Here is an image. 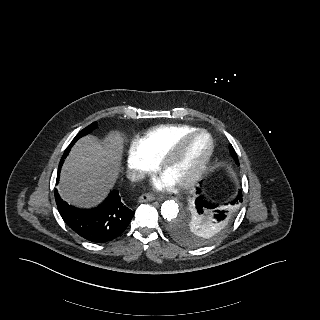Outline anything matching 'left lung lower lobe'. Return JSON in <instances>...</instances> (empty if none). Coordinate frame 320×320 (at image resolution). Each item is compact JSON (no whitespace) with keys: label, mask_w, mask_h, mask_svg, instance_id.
<instances>
[{"label":"left lung lower lobe","mask_w":320,"mask_h":320,"mask_svg":"<svg viewBox=\"0 0 320 320\" xmlns=\"http://www.w3.org/2000/svg\"><path fill=\"white\" fill-rule=\"evenodd\" d=\"M197 193L198 194L200 193L199 189L197 190ZM239 202H242L241 190H239L238 195L234 200L230 201L229 203H226L225 205L229 204V205L235 206ZM195 205H196V210L199 214H204V209L210 210V211L216 213V214H214L213 217L208 218L211 223V228L209 229V231H211V232L216 231L217 229L224 227L228 223V218L226 215L227 211L215 210L218 207V204L209 203V202L205 201L202 196H199L195 200ZM212 212H209L208 215H210V213H212Z\"/></svg>","instance_id":"1"}]
</instances>
